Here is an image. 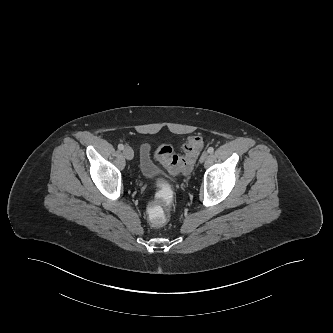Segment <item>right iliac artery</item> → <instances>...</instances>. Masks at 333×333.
<instances>
[{
  "label": "right iliac artery",
  "instance_id": "right-iliac-artery-1",
  "mask_svg": "<svg viewBox=\"0 0 333 333\" xmlns=\"http://www.w3.org/2000/svg\"><path fill=\"white\" fill-rule=\"evenodd\" d=\"M118 149H119V150H123V149H124V145H123V144H119V145H118Z\"/></svg>",
  "mask_w": 333,
  "mask_h": 333
}]
</instances>
